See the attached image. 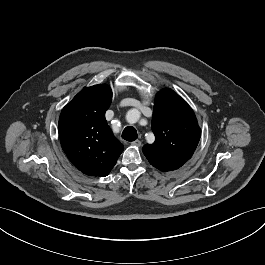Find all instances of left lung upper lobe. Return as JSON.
I'll return each mask as SVG.
<instances>
[{"mask_svg":"<svg viewBox=\"0 0 265 265\" xmlns=\"http://www.w3.org/2000/svg\"><path fill=\"white\" fill-rule=\"evenodd\" d=\"M152 131L155 142L144 145L142 151L161 171L180 168L193 155L201 136L193 110L171 89L156 95Z\"/></svg>","mask_w":265,"mask_h":265,"instance_id":"obj_1","label":"left lung upper lobe"}]
</instances>
